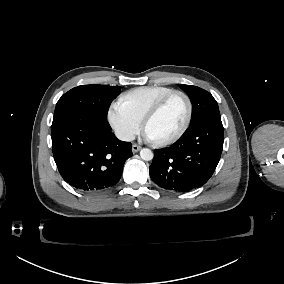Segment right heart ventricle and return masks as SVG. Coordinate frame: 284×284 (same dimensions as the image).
<instances>
[{
  "label": "right heart ventricle",
  "instance_id": "1",
  "mask_svg": "<svg viewBox=\"0 0 284 284\" xmlns=\"http://www.w3.org/2000/svg\"><path fill=\"white\" fill-rule=\"evenodd\" d=\"M173 91H175L173 88L166 86H141L122 93L118 98L117 105L141 122L147 112L160 99Z\"/></svg>",
  "mask_w": 284,
  "mask_h": 284
}]
</instances>
